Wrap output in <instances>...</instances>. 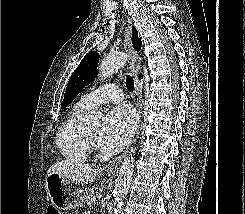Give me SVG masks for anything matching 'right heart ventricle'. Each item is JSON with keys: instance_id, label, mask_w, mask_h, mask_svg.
Here are the masks:
<instances>
[{"instance_id": "1", "label": "right heart ventricle", "mask_w": 245, "mask_h": 214, "mask_svg": "<svg viewBox=\"0 0 245 214\" xmlns=\"http://www.w3.org/2000/svg\"><path fill=\"white\" fill-rule=\"evenodd\" d=\"M81 102L76 103L61 124L55 137V144L62 157L72 162H84L88 147L84 140L85 128L81 118L88 109Z\"/></svg>"}]
</instances>
